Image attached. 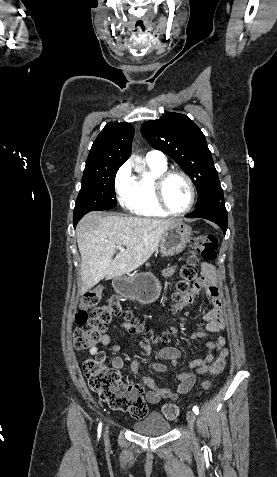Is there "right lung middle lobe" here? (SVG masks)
<instances>
[{
	"instance_id": "dd1d6c3e",
	"label": "right lung middle lobe",
	"mask_w": 277,
	"mask_h": 477,
	"mask_svg": "<svg viewBox=\"0 0 277 477\" xmlns=\"http://www.w3.org/2000/svg\"><path fill=\"white\" fill-rule=\"evenodd\" d=\"M119 167L85 172L76 200L74 227L82 216L93 210H106L117 205L114 181Z\"/></svg>"
}]
</instances>
